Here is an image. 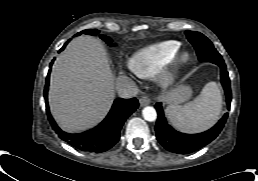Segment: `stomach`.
<instances>
[{
	"label": "stomach",
	"mask_w": 258,
	"mask_h": 181,
	"mask_svg": "<svg viewBox=\"0 0 258 181\" xmlns=\"http://www.w3.org/2000/svg\"><path fill=\"white\" fill-rule=\"evenodd\" d=\"M192 96V89L187 85H178L163 96L167 104L179 105L186 102Z\"/></svg>",
	"instance_id": "stomach-1"
}]
</instances>
